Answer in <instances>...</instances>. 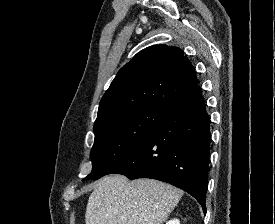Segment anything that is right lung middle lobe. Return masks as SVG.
I'll use <instances>...</instances> for the list:
<instances>
[{
	"instance_id": "right-lung-middle-lobe-1",
	"label": "right lung middle lobe",
	"mask_w": 275,
	"mask_h": 224,
	"mask_svg": "<svg viewBox=\"0 0 275 224\" xmlns=\"http://www.w3.org/2000/svg\"><path fill=\"white\" fill-rule=\"evenodd\" d=\"M166 109L148 106L118 115L94 126L92 172L83 180H96L122 162L150 133Z\"/></svg>"
}]
</instances>
